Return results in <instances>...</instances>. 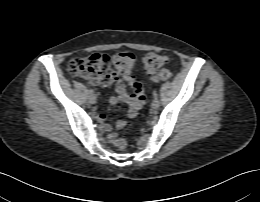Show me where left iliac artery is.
I'll list each match as a JSON object with an SVG mask.
<instances>
[{
    "label": "left iliac artery",
    "mask_w": 260,
    "mask_h": 202,
    "mask_svg": "<svg viewBox=\"0 0 260 202\" xmlns=\"http://www.w3.org/2000/svg\"><path fill=\"white\" fill-rule=\"evenodd\" d=\"M153 96H154L155 99H157V98H158V93H157V92H154V93H153Z\"/></svg>",
    "instance_id": "obj_1"
}]
</instances>
